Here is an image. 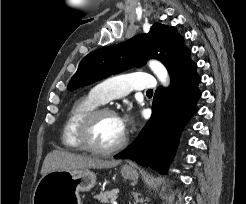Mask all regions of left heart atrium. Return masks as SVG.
I'll use <instances>...</instances> for the list:
<instances>
[{
	"mask_svg": "<svg viewBox=\"0 0 246 204\" xmlns=\"http://www.w3.org/2000/svg\"><path fill=\"white\" fill-rule=\"evenodd\" d=\"M117 118L124 131L133 123L134 120L129 113H125Z\"/></svg>",
	"mask_w": 246,
	"mask_h": 204,
	"instance_id": "left-heart-atrium-1",
	"label": "left heart atrium"
}]
</instances>
